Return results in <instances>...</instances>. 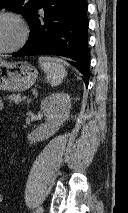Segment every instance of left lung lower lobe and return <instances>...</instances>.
<instances>
[{
    "label": "left lung lower lobe",
    "mask_w": 128,
    "mask_h": 213,
    "mask_svg": "<svg viewBox=\"0 0 128 213\" xmlns=\"http://www.w3.org/2000/svg\"><path fill=\"white\" fill-rule=\"evenodd\" d=\"M41 8L44 17L38 13ZM87 9L86 0H38L29 23L30 38L21 50L12 55L49 54L68 57L74 60L71 64L89 82Z\"/></svg>",
    "instance_id": "left-lung-lower-lobe-1"
}]
</instances>
